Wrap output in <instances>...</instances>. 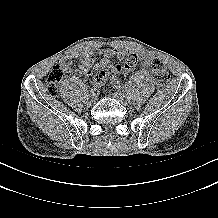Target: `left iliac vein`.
Instances as JSON below:
<instances>
[{"label":"left iliac vein","instance_id":"left-iliac-vein-1","mask_svg":"<svg viewBox=\"0 0 218 218\" xmlns=\"http://www.w3.org/2000/svg\"><path fill=\"white\" fill-rule=\"evenodd\" d=\"M112 96L124 105L129 103V99L125 96L124 93H120V90L115 91Z\"/></svg>","mask_w":218,"mask_h":218}]
</instances>
